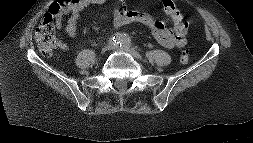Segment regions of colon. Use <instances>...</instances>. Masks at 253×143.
<instances>
[{
	"label": "colon",
	"instance_id": "colon-1",
	"mask_svg": "<svg viewBox=\"0 0 253 143\" xmlns=\"http://www.w3.org/2000/svg\"><path fill=\"white\" fill-rule=\"evenodd\" d=\"M69 0H59L56 2L50 12L46 13L43 20L41 21L40 25L36 29L35 32V41L40 52L43 55L49 56L51 55L56 46H57V38L55 34V24H54V15L65 2ZM173 11H176V8L171 7ZM177 13V11H176ZM188 30V22L186 20H181L177 26V31L186 34ZM180 62L182 64H187L189 62V51L183 50L180 54Z\"/></svg>",
	"mask_w": 253,
	"mask_h": 143
}]
</instances>
